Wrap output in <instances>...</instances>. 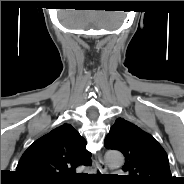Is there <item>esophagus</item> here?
<instances>
[{
	"label": "esophagus",
	"instance_id": "esophagus-1",
	"mask_svg": "<svg viewBox=\"0 0 184 184\" xmlns=\"http://www.w3.org/2000/svg\"><path fill=\"white\" fill-rule=\"evenodd\" d=\"M96 166L101 173L107 172V166H106L105 162L102 160L101 155L97 156Z\"/></svg>",
	"mask_w": 184,
	"mask_h": 184
}]
</instances>
